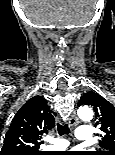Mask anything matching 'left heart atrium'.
I'll use <instances>...</instances> for the list:
<instances>
[{
	"instance_id": "left-heart-atrium-1",
	"label": "left heart atrium",
	"mask_w": 115,
	"mask_h": 155,
	"mask_svg": "<svg viewBox=\"0 0 115 155\" xmlns=\"http://www.w3.org/2000/svg\"><path fill=\"white\" fill-rule=\"evenodd\" d=\"M80 152L78 151V150H75V151H73V152H71V153H68V154H65V155H81V154H79Z\"/></svg>"
}]
</instances>
